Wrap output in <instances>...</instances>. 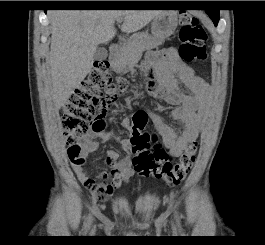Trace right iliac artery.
<instances>
[{
	"label": "right iliac artery",
	"mask_w": 265,
	"mask_h": 245,
	"mask_svg": "<svg viewBox=\"0 0 265 245\" xmlns=\"http://www.w3.org/2000/svg\"><path fill=\"white\" fill-rule=\"evenodd\" d=\"M90 224H91V216L88 217V220H87V222L84 225V229L87 230L90 227Z\"/></svg>",
	"instance_id": "right-iliac-artery-1"
}]
</instances>
